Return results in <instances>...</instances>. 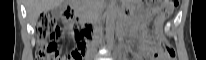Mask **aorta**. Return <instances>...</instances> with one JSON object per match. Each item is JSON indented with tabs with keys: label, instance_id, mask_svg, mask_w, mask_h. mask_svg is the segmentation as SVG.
I'll list each match as a JSON object with an SVG mask.
<instances>
[{
	"label": "aorta",
	"instance_id": "1",
	"mask_svg": "<svg viewBox=\"0 0 206 60\" xmlns=\"http://www.w3.org/2000/svg\"><path fill=\"white\" fill-rule=\"evenodd\" d=\"M115 28V8L110 5L106 10V37L110 41L114 37Z\"/></svg>",
	"mask_w": 206,
	"mask_h": 60
}]
</instances>
